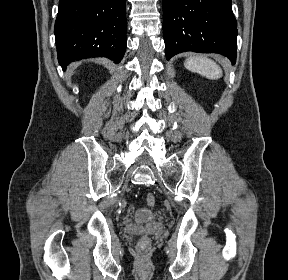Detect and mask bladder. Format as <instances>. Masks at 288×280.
<instances>
[{
	"label": "bladder",
	"instance_id": "obj_1",
	"mask_svg": "<svg viewBox=\"0 0 288 280\" xmlns=\"http://www.w3.org/2000/svg\"><path fill=\"white\" fill-rule=\"evenodd\" d=\"M133 218L137 222H148L154 218V212L148 208H138L134 212Z\"/></svg>",
	"mask_w": 288,
	"mask_h": 280
}]
</instances>
